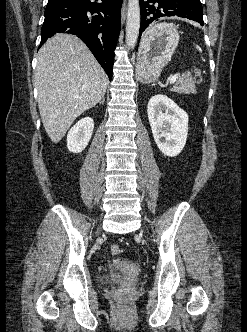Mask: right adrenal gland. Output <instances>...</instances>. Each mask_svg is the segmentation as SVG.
<instances>
[{
    "mask_svg": "<svg viewBox=\"0 0 247 332\" xmlns=\"http://www.w3.org/2000/svg\"><path fill=\"white\" fill-rule=\"evenodd\" d=\"M104 101H105V98H103V100L100 103L104 104Z\"/></svg>",
    "mask_w": 247,
    "mask_h": 332,
    "instance_id": "2a0ac1e0",
    "label": "right adrenal gland"
}]
</instances>
